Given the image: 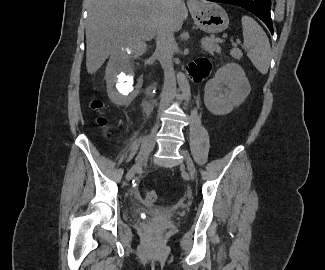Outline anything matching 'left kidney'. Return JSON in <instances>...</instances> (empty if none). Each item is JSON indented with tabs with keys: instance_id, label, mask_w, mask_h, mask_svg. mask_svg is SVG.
I'll return each mask as SVG.
<instances>
[{
	"instance_id": "obj_1",
	"label": "left kidney",
	"mask_w": 325,
	"mask_h": 270,
	"mask_svg": "<svg viewBox=\"0 0 325 270\" xmlns=\"http://www.w3.org/2000/svg\"><path fill=\"white\" fill-rule=\"evenodd\" d=\"M250 91L251 86L242 67L228 63L219 68L215 77L205 85V106L214 115H226L241 105Z\"/></svg>"
}]
</instances>
